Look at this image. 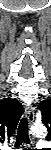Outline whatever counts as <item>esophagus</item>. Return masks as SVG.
I'll list each match as a JSON object with an SVG mask.
<instances>
[{"mask_svg": "<svg viewBox=\"0 0 51 150\" xmlns=\"http://www.w3.org/2000/svg\"><path fill=\"white\" fill-rule=\"evenodd\" d=\"M26 115L28 118V122L31 125L34 122V111L33 108L31 106H27L26 109Z\"/></svg>", "mask_w": 51, "mask_h": 150, "instance_id": "1", "label": "esophagus"}]
</instances>
